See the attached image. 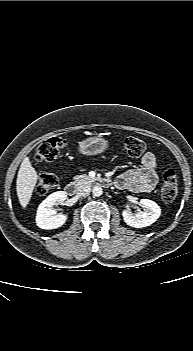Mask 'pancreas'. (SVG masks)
Segmentation results:
<instances>
[{
	"label": "pancreas",
	"mask_w": 193,
	"mask_h": 351,
	"mask_svg": "<svg viewBox=\"0 0 193 351\" xmlns=\"http://www.w3.org/2000/svg\"><path fill=\"white\" fill-rule=\"evenodd\" d=\"M74 182L76 185L88 184L93 182L95 179L90 178L89 176L82 174L74 177Z\"/></svg>",
	"instance_id": "cf45deb5"
}]
</instances>
